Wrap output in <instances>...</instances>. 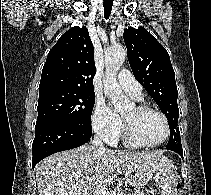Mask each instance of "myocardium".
Segmentation results:
<instances>
[{
	"mask_svg": "<svg viewBox=\"0 0 211 195\" xmlns=\"http://www.w3.org/2000/svg\"><path fill=\"white\" fill-rule=\"evenodd\" d=\"M135 108L140 113L154 112V113H157L158 115H160L165 123L166 133H165L164 138L159 142H156V143L144 142L137 136L131 123L123 117L124 131H125V135L127 136V138L139 147H157V146H160L161 144H163L164 142H166L170 136L171 129H170L169 120H168L167 116L165 115V113L158 108L148 106V105H137Z\"/></svg>",
	"mask_w": 211,
	"mask_h": 195,
	"instance_id": "1",
	"label": "myocardium"
}]
</instances>
